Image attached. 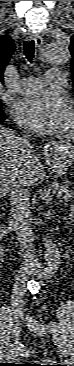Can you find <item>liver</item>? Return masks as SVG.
Segmentation results:
<instances>
[{
  "label": "liver",
  "instance_id": "obj_1",
  "mask_svg": "<svg viewBox=\"0 0 74 366\" xmlns=\"http://www.w3.org/2000/svg\"><path fill=\"white\" fill-rule=\"evenodd\" d=\"M24 177L33 186L44 174L43 166L31 150L28 155L20 144V137L10 129L0 127V193L8 192L12 177Z\"/></svg>",
  "mask_w": 74,
  "mask_h": 366
}]
</instances>
